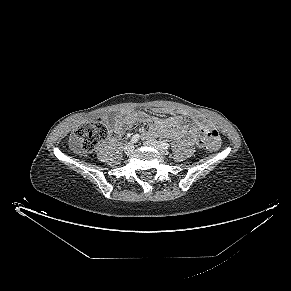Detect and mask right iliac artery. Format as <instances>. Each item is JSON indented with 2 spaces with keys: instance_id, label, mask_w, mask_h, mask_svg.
I'll list each match as a JSON object with an SVG mask.
<instances>
[{
  "instance_id": "obj_1",
  "label": "right iliac artery",
  "mask_w": 291,
  "mask_h": 291,
  "mask_svg": "<svg viewBox=\"0 0 291 291\" xmlns=\"http://www.w3.org/2000/svg\"><path fill=\"white\" fill-rule=\"evenodd\" d=\"M139 138H140V136L138 134H136L131 138V142L136 143V142H138Z\"/></svg>"
}]
</instances>
